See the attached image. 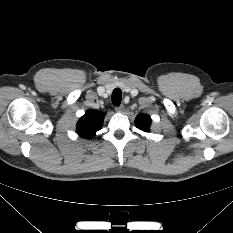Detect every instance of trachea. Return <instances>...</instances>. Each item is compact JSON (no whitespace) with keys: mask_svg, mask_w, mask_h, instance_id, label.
Returning <instances> with one entry per match:
<instances>
[{"mask_svg":"<svg viewBox=\"0 0 233 233\" xmlns=\"http://www.w3.org/2000/svg\"><path fill=\"white\" fill-rule=\"evenodd\" d=\"M122 93L119 88L114 89L112 93V102L115 106H119L121 103Z\"/></svg>","mask_w":233,"mask_h":233,"instance_id":"trachea-1","label":"trachea"}]
</instances>
